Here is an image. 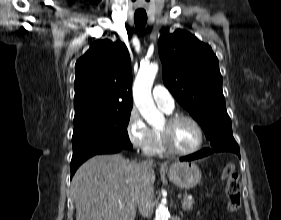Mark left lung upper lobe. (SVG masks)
<instances>
[{
  "label": "left lung upper lobe",
  "instance_id": "obj_1",
  "mask_svg": "<svg viewBox=\"0 0 281 220\" xmlns=\"http://www.w3.org/2000/svg\"><path fill=\"white\" fill-rule=\"evenodd\" d=\"M163 81L201 125L212 149L238 148L225 107L222 76L211 47L184 30L163 31L158 42Z\"/></svg>",
  "mask_w": 281,
  "mask_h": 220
}]
</instances>
